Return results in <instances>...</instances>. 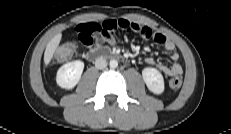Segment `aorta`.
I'll return each mask as SVG.
<instances>
[{"instance_id":"762f6f07","label":"aorta","mask_w":231,"mask_h":134,"mask_svg":"<svg viewBox=\"0 0 231 134\" xmlns=\"http://www.w3.org/2000/svg\"><path fill=\"white\" fill-rule=\"evenodd\" d=\"M109 65L111 68H116L118 66V61L115 59H112V60H110Z\"/></svg>"}]
</instances>
